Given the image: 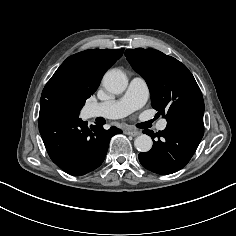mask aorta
Wrapping results in <instances>:
<instances>
[{"mask_svg": "<svg viewBox=\"0 0 236 236\" xmlns=\"http://www.w3.org/2000/svg\"><path fill=\"white\" fill-rule=\"evenodd\" d=\"M105 89L114 94H120L127 88L128 79L124 72L119 69H112L103 77ZM153 145L152 139L146 134H141L134 141L135 148L140 152H148Z\"/></svg>", "mask_w": 236, "mask_h": 236, "instance_id": "762f6f07", "label": "aorta"}]
</instances>
